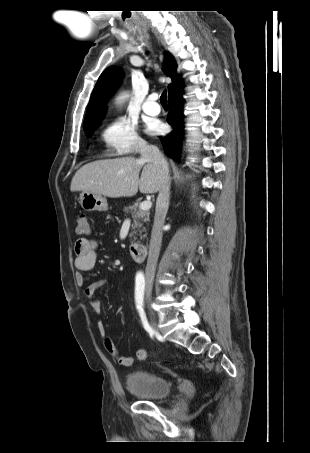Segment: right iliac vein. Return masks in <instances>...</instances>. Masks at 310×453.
Wrapping results in <instances>:
<instances>
[{
  "label": "right iliac vein",
  "mask_w": 310,
  "mask_h": 453,
  "mask_svg": "<svg viewBox=\"0 0 310 453\" xmlns=\"http://www.w3.org/2000/svg\"><path fill=\"white\" fill-rule=\"evenodd\" d=\"M145 294H146V298H147V302L150 304L151 302V296H152V286L151 285H147L146 288H145ZM151 315L153 316V312L151 311ZM152 326L154 328H156V323L154 321V319L152 320Z\"/></svg>",
  "instance_id": "1"
}]
</instances>
